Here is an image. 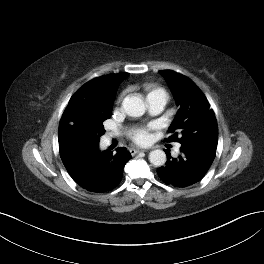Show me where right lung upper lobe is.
<instances>
[{
  "instance_id": "cb5924a9",
  "label": "right lung upper lobe",
  "mask_w": 264,
  "mask_h": 264,
  "mask_svg": "<svg viewBox=\"0 0 264 264\" xmlns=\"http://www.w3.org/2000/svg\"><path fill=\"white\" fill-rule=\"evenodd\" d=\"M128 75V73L109 74L82 86L71 97L63 113L58 139H62L66 129L75 122L112 107L118 86Z\"/></svg>"
}]
</instances>
